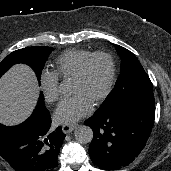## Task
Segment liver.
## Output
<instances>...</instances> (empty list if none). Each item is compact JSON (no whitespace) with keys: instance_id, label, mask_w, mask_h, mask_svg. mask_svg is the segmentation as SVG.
<instances>
[{"instance_id":"1","label":"liver","mask_w":171,"mask_h":171,"mask_svg":"<svg viewBox=\"0 0 171 171\" xmlns=\"http://www.w3.org/2000/svg\"><path fill=\"white\" fill-rule=\"evenodd\" d=\"M38 99L34 71L25 64L13 66L0 79V123L16 125L32 113Z\"/></svg>"}]
</instances>
